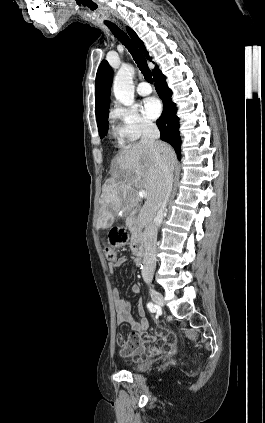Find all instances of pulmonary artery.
<instances>
[{
  "mask_svg": "<svg viewBox=\"0 0 265 423\" xmlns=\"http://www.w3.org/2000/svg\"><path fill=\"white\" fill-rule=\"evenodd\" d=\"M137 92L139 95L146 96L152 92V87L146 81H141L137 86Z\"/></svg>",
  "mask_w": 265,
  "mask_h": 423,
  "instance_id": "pulmonary-artery-1",
  "label": "pulmonary artery"
}]
</instances>
